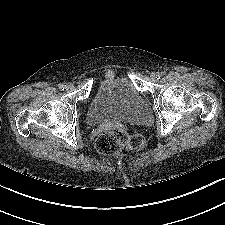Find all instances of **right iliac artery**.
<instances>
[{
	"label": "right iliac artery",
	"mask_w": 225,
	"mask_h": 225,
	"mask_svg": "<svg viewBox=\"0 0 225 225\" xmlns=\"http://www.w3.org/2000/svg\"><path fill=\"white\" fill-rule=\"evenodd\" d=\"M65 87H66V85H65L64 83H60V84L58 85V88H59L60 90H64Z\"/></svg>",
	"instance_id": "obj_1"
}]
</instances>
